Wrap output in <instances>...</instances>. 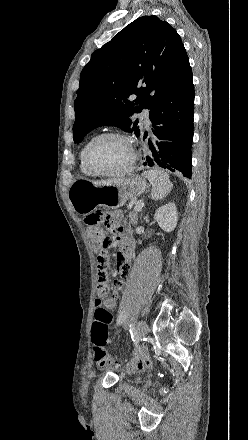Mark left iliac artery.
I'll use <instances>...</instances> for the list:
<instances>
[{"instance_id":"1","label":"left iliac artery","mask_w":248,"mask_h":440,"mask_svg":"<svg viewBox=\"0 0 248 440\" xmlns=\"http://www.w3.org/2000/svg\"><path fill=\"white\" fill-rule=\"evenodd\" d=\"M124 317H125V315H124ZM130 333H131V335L133 336V333H134V327L130 324Z\"/></svg>"}]
</instances>
